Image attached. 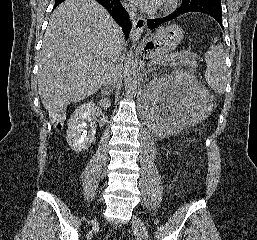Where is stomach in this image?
Here are the masks:
<instances>
[{
    "instance_id": "0dacf381",
    "label": "stomach",
    "mask_w": 257,
    "mask_h": 240,
    "mask_svg": "<svg viewBox=\"0 0 257 240\" xmlns=\"http://www.w3.org/2000/svg\"><path fill=\"white\" fill-rule=\"evenodd\" d=\"M184 32L178 25L160 27L155 33L142 44V54L152 58L164 55L180 43Z\"/></svg>"
}]
</instances>
